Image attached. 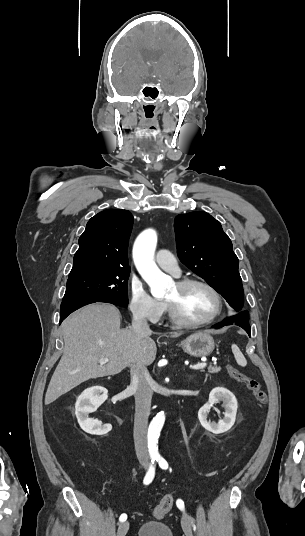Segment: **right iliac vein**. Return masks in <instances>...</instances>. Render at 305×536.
<instances>
[{"instance_id": "63e3f726", "label": "right iliac vein", "mask_w": 305, "mask_h": 536, "mask_svg": "<svg viewBox=\"0 0 305 536\" xmlns=\"http://www.w3.org/2000/svg\"><path fill=\"white\" fill-rule=\"evenodd\" d=\"M129 529L128 521L120 523L117 531V536H126Z\"/></svg>"}]
</instances>
